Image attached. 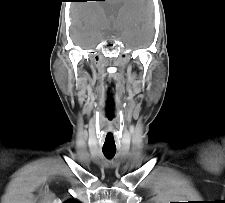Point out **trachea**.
I'll list each match as a JSON object with an SVG mask.
<instances>
[{"label":"trachea","mask_w":225,"mask_h":203,"mask_svg":"<svg viewBox=\"0 0 225 203\" xmlns=\"http://www.w3.org/2000/svg\"><path fill=\"white\" fill-rule=\"evenodd\" d=\"M116 150H103V154L106 158L111 159L114 157Z\"/></svg>","instance_id":"trachea-1"}]
</instances>
